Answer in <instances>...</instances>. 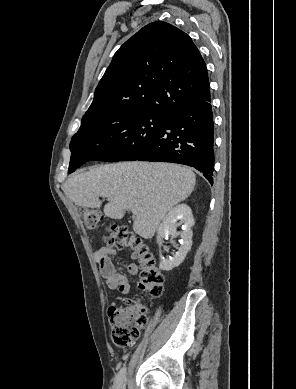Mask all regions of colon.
Wrapping results in <instances>:
<instances>
[{
	"label": "colon",
	"mask_w": 296,
	"mask_h": 389,
	"mask_svg": "<svg viewBox=\"0 0 296 389\" xmlns=\"http://www.w3.org/2000/svg\"><path fill=\"white\" fill-rule=\"evenodd\" d=\"M79 213L88 229L96 230L99 228L102 221L99 210L82 207ZM103 239L112 248L132 251L141 268L138 282L141 290L154 297L162 294L164 275L158 267L150 246L142 237L125 226H109L105 229ZM108 318L111 325V339L118 348L133 345L147 324L145 307L133 299H126L123 307L109 308Z\"/></svg>",
	"instance_id": "obj_1"
}]
</instances>
